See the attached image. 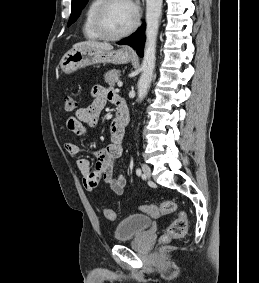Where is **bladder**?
<instances>
[{
    "label": "bladder",
    "mask_w": 259,
    "mask_h": 283,
    "mask_svg": "<svg viewBox=\"0 0 259 283\" xmlns=\"http://www.w3.org/2000/svg\"><path fill=\"white\" fill-rule=\"evenodd\" d=\"M152 219L146 215L133 214L117 224L114 230L115 241L132 239L152 225Z\"/></svg>",
    "instance_id": "1"
}]
</instances>
